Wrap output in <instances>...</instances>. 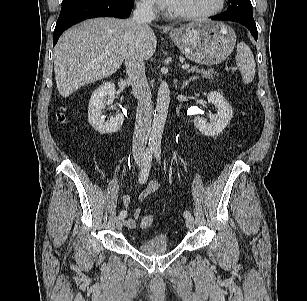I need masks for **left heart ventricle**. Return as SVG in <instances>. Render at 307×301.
I'll use <instances>...</instances> for the list:
<instances>
[{
	"mask_svg": "<svg viewBox=\"0 0 307 301\" xmlns=\"http://www.w3.org/2000/svg\"><path fill=\"white\" fill-rule=\"evenodd\" d=\"M219 0H175L170 10L179 13H194L211 10Z\"/></svg>",
	"mask_w": 307,
	"mask_h": 301,
	"instance_id": "b2bd125f",
	"label": "left heart ventricle"
}]
</instances>
